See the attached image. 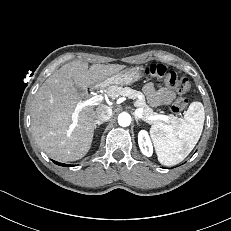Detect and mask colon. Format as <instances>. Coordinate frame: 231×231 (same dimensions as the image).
<instances>
[{"mask_svg": "<svg viewBox=\"0 0 231 231\" xmlns=\"http://www.w3.org/2000/svg\"><path fill=\"white\" fill-rule=\"evenodd\" d=\"M146 75L162 79L168 86L173 88L179 94H184L190 89V81L186 77H179L178 74L169 70L166 66L162 64H153L149 66L145 70ZM188 104L187 99L183 97H178L172 107L171 110L173 113L182 112Z\"/></svg>", "mask_w": 231, "mask_h": 231, "instance_id": "5ec220e1", "label": "colon"}]
</instances>
